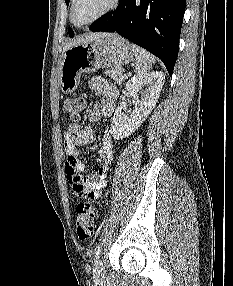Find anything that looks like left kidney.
Segmentation results:
<instances>
[{
  "label": "left kidney",
  "mask_w": 233,
  "mask_h": 286,
  "mask_svg": "<svg viewBox=\"0 0 233 286\" xmlns=\"http://www.w3.org/2000/svg\"><path fill=\"white\" fill-rule=\"evenodd\" d=\"M164 80L165 75L155 71L135 75L126 83L125 89L134 108L129 115L124 114L122 110L126 109V98L121 97L123 103L114 112L110 130L114 139H124L141 126L156 105Z\"/></svg>",
  "instance_id": "obj_1"
}]
</instances>
